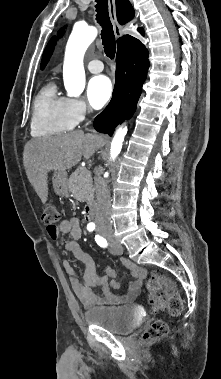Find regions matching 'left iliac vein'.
<instances>
[{
  "mask_svg": "<svg viewBox=\"0 0 221 379\" xmlns=\"http://www.w3.org/2000/svg\"><path fill=\"white\" fill-rule=\"evenodd\" d=\"M109 250L114 255H120L123 252V248L119 242L116 240H111L109 242Z\"/></svg>",
  "mask_w": 221,
  "mask_h": 379,
  "instance_id": "4c4485c4",
  "label": "left iliac vein"
}]
</instances>
